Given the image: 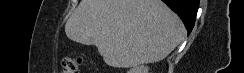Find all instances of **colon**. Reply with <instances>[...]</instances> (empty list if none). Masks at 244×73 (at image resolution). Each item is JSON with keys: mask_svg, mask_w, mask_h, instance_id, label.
Masks as SVG:
<instances>
[{"mask_svg": "<svg viewBox=\"0 0 244 73\" xmlns=\"http://www.w3.org/2000/svg\"><path fill=\"white\" fill-rule=\"evenodd\" d=\"M82 64L81 58H64L62 61V66L64 73H77L78 67Z\"/></svg>", "mask_w": 244, "mask_h": 73, "instance_id": "1", "label": "colon"}]
</instances>
